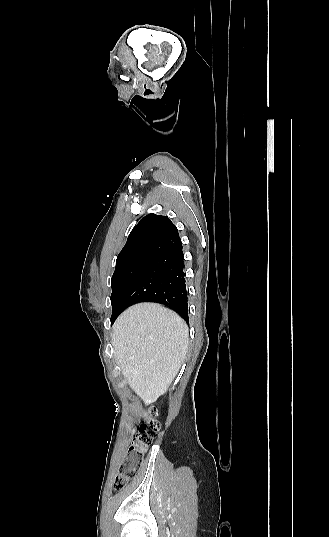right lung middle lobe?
Masks as SVG:
<instances>
[{"instance_id": "dd1d6c3e", "label": "right lung middle lobe", "mask_w": 329, "mask_h": 537, "mask_svg": "<svg viewBox=\"0 0 329 537\" xmlns=\"http://www.w3.org/2000/svg\"><path fill=\"white\" fill-rule=\"evenodd\" d=\"M149 264V261H134L115 269L111 279V305L113 310L111 319L120 311L122 297L127 289Z\"/></svg>"}]
</instances>
